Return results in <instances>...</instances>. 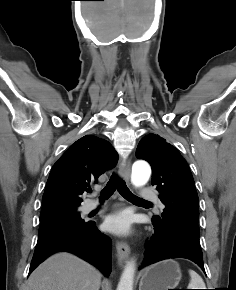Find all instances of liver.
Returning <instances> with one entry per match:
<instances>
[{"instance_id":"liver-1","label":"liver","mask_w":236,"mask_h":290,"mask_svg":"<svg viewBox=\"0 0 236 290\" xmlns=\"http://www.w3.org/2000/svg\"><path fill=\"white\" fill-rule=\"evenodd\" d=\"M110 290L108 280L101 283L100 273L86 261L66 252H59L30 275L26 290Z\"/></svg>"}]
</instances>
